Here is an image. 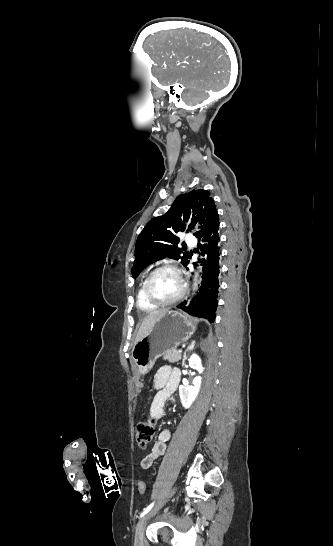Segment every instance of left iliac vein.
Wrapping results in <instances>:
<instances>
[{"label":"left iliac vein","instance_id":"1","mask_svg":"<svg viewBox=\"0 0 333 546\" xmlns=\"http://www.w3.org/2000/svg\"><path fill=\"white\" fill-rule=\"evenodd\" d=\"M175 493V489L170 493V496H172ZM152 512H149L146 514L138 523L136 527L135 532V543L134 546H143V534H144V528L146 526L147 520L151 516Z\"/></svg>","mask_w":333,"mask_h":546}]
</instances>
